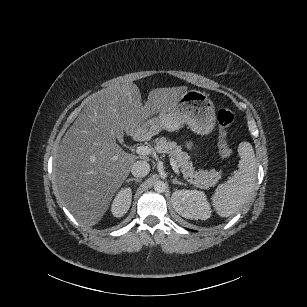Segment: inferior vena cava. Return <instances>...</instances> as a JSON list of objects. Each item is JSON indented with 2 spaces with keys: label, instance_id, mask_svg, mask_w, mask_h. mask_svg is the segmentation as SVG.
Wrapping results in <instances>:
<instances>
[{
  "label": "inferior vena cava",
  "instance_id": "obj_1",
  "mask_svg": "<svg viewBox=\"0 0 307 307\" xmlns=\"http://www.w3.org/2000/svg\"><path fill=\"white\" fill-rule=\"evenodd\" d=\"M150 171V165L143 160L136 161L132 166V174L135 177H143Z\"/></svg>",
  "mask_w": 307,
  "mask_h": 307
}]
</instances>
